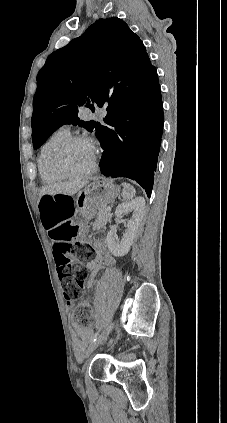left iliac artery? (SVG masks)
I'll list each match as a JSON object with an SVG mask.
<instances>
[{"mask_svg":"<svg viewBox=\"0 0 227 423\" xmlns=\"http://www.w3.org/2000/svg\"><path fill=\"white\" fill-rule=\"evenodd\" d=\"M101 333V329H99L90 339V343L92 344L93 342H95L97 340V338L100 336Z\"/></svg>","mask_w":227,"mask_h":423,"instance_id":"left-iliac-artery-1","label":"left iliac artery"}]
</instances>
